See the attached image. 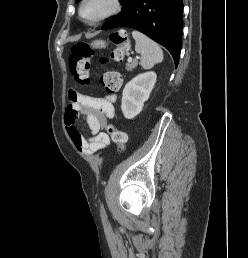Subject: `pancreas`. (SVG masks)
Wrapping results in <instances>:
<instances>
[{
  "mask_svg": "<svg viewBox=\"0 0 248 258\" xmlns=\"http://www.w3.org/2000/svg\"><path fill=\"white\" fill-rule=\"evenodd\" d=\"M137 65H138V61H136V60H134L132 62H128L126 64V69H127V71H132L133 69H135L137 67Z\"/></svg>",
  "mask_w": 248,
  "mask_h": 258,
  "instance_id": "pancreas-1",
  "label": "pancreas"
}]
</instances>
